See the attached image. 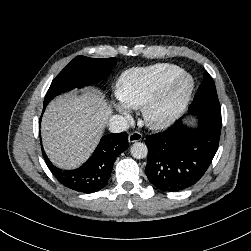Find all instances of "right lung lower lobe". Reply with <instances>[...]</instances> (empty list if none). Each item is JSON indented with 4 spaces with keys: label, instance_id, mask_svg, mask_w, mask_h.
Instances as JSON below:
<instances>
[{
    "label": "right lung lower lobe",
    "instance_id": "1",
    "mask_svg": "<svg viewBox=\"0 0 251 251\" xmlns=\"http://www.w3.org/2000/svg\"><path fill=\"white\" fill-rule=\"evenodd\" d=\"M127 148L126 132L105 135L92 156L75 170H61L50 162L43 148L42 154L48 168L62 185L77 192L93 193L106 186L117 156Z\"/></svg>",
    "mask_w": 251,
    "mask_h": 251
}]
</instances>
